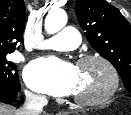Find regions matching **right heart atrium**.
<instances>
[{"label":"right heart atrium","mask_w":131,"mask_h":115,"mask_svg":"<svg viewBox=\"0 0 131 115\" xmlns=\"http://www.w3.org/2000/svg\"><path fill=\"white\" fill-rule=\"evenodd\" d=\"M27 96H28L29 98H32V99H35V98L38 97V95H36V94H34V93H32V92H27Z\"/></svg>","instance_id":"d8ad5b80"}]
</instances>
